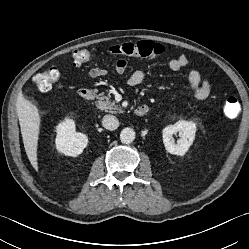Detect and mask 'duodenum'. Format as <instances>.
<instances>
[{"instance_id": "obj_1", "label": "duodenum", "mask_w": 249, "mask_h": 249, "mask_svg": "<svg viewBox=\"0 0 249 249\" xmlns=\"http://www.w3.org/2000/svg\"><path fill=\"white\" fill-rule=\"evenodd\" d=\"M78 95L81 99L89 101L94 97V92L90 88H80ZM148 112V106L146 104H140L135 108V114L137 116H144Z\"/></svg>"}]
</instances>
